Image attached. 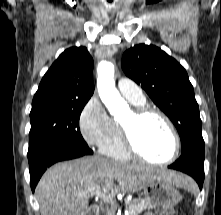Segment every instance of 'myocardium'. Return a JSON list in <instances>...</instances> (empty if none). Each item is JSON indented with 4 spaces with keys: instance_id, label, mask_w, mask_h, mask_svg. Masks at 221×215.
<instances>
[{
    "instance_id": "1",
    "label": "myocardium",
    "mask_w": 221,
    "mask_h": 215,
    "mask_svg": "<svg viewBox=\"0 0 221 215\" xmlns=\"http://www.w3.org/2000/svg\"><path fill=\"white\" fill-rule=\"evenodd\" d=\"M130 114H131L132 122L140 121L141 119L149 115L158 116L166 124L167 128L169 129L173 138L174 145H173V152L168 159L163 160V161L152 160L148 158L147 156H145L137 147L135 140H134V136H133L132 125L124 123V122H120L121 138H122V142L126 151L131 156L138 158L142 161H145L147 163L153 164V165L166 166V165L173 163L179 156L181 141H180L179 134L174 124L169 119V117L161 110L155 107L147 106V105L136 106L135 108L131 110Z\"/></svg>"
}]
</instances>
